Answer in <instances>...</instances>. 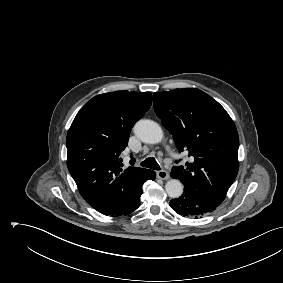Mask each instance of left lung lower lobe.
Listing matches in <instances>:
<instances>
[{"label": "left lung lower lobe", "mask_w": 283, "mask_h": 283, "mask_svg": "<svg viewBox=\"0 0 283 283\" xmlns=\"http://www.w3.org/2000/svg\"><path fill=\"white\" fill-rule=\"evenodd\" d=\"M216 205L196 190L184 188V193L170 201V207L183 217L197 218L213 212Z\"/></svg>", "instance_id": "obj_1"}]
</instances>
